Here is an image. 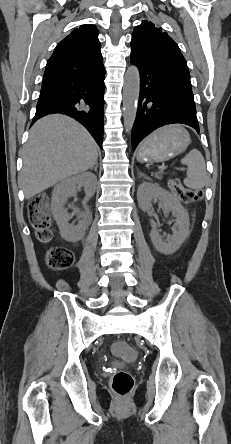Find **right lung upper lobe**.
Wrapping results in <instances>:
<instances>
[{
    "mask_svg": "<svg viewBox=\"0 0 231 444\" xmlns=\"http://www.w3.org/2000/svg\"><path fill=\"white\" fill-rule=\"evenodd\" d=\"M98 34L94 25L86 24L64 38L47 61L42 85L104 69Z\"/></svg>",
    "mask_w": 231,
    "mask_h": 444,
    "instance_id": "1",
    "label": "right lung upper lobe"
}]
</instances>
